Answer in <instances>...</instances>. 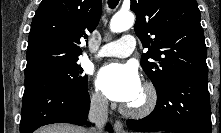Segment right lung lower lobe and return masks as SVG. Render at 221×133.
Returning a JSON list of instances; mask_svg holds the SVG:
<instances>
[{
	"mask_svg": "<svg viewBox=\"0 0 221 133\" xmlns=\"http://www.w3.org/2000/svg\"><path fill=\"white\" fill-rule=\"evenodd\" d=\"M89 108L87 84L72 88L53 77L25 76L20 133H32L43 125L57 122L85 125ZM106 130L112 132L110 124Z\"/></svg>",
	"mask_w": 221,
	"mask_h": 133,
	"instance_id": "obj_1",
	"label": "right lung lower lobe"
}]
</instances>
